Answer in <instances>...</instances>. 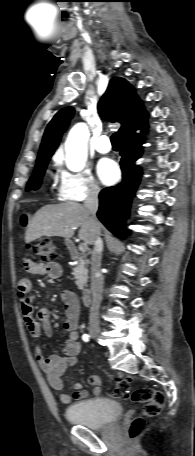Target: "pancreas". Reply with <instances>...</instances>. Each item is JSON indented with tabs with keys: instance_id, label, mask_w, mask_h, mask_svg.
<instances>
[{
	"instance_id": "pancreas-1",
	"label": "pancreas",
	"mask_w": 195,
	"mask_h": 456,
	"mask_svg": "<svg viewBox=\"0 0 195 456\" xmlns=\"http://www.w3.org/2000/svg\"><path fill=\"white\" fill-rule=\"evenodd\" d=\"M72 258L76 260V265L73 269V275L76 279L78 289L84 290L88 280V263L86 256L82 253L73 252Z\"/></svg>"
}]
</instances>
